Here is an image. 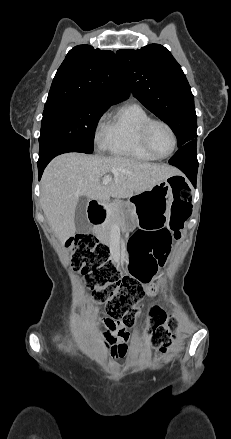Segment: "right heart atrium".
I'll list each match as a JSON object with an SVG mask.
<instances>
[{
	"mask_svg": "<svg viewBox=\"0 0 231 439\" xmlns=\"http://www.w3.org/2000/svg\"><path fill=\"white\" fill-rule=\"evenodd\" d=\"M103 121L100 120L97 124V130H96V138L97 140L101 141L103 137Z\"/></svg>",
	"mask_w": 231,
	"mask_h": 439,
	"instance_id": "obj_1",
	"label": "right heart atrium"
}]
</instances>
